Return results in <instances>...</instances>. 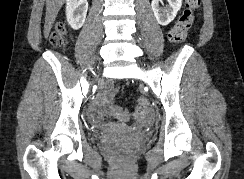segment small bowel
Returning <instances> with one entry per match:
<instances>
[{"mask_svg": "<svg viewBox=\"0 0 244 179\" xmlns=\"http://www.w3.org/2000/svg\"><path fill=\"white\" fill-rule=\"evenodd\" d=\"M108 88L110 90L109 93H108V99L111 100L113 92H112V88L110 86ZM109 110L113 111V110H121V109L116 108V107H112V106H110L109 108H106L103 103H100L98 108H97V111H96V114L98 115L99 122H102L103 116L105 115V113H108ZM135 115L136 116H140V118H141L140 121H139L140 124L147 125L153 119L152 116H150V115H154V110H143V113L138 114L136 112ZM115 116L118 117V116H127V115H115Z\"/></svg>", "mask_w": 244, "mask_h": 179, "instance_id": "small-bowel-1", "label": "small bowel"}]
</instances>
